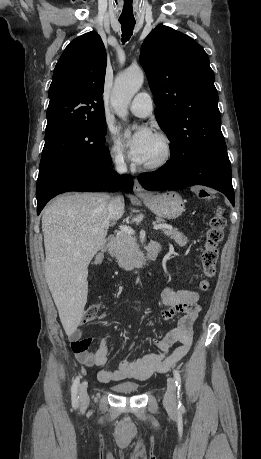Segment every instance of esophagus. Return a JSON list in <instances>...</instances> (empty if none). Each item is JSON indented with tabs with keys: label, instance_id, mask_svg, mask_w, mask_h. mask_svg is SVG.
Instances as JSON below:
<instances>
[{
	"label": "esophagus",
	"instance_id": "1",
	"mask_svg": "<svg viewBox=\"0 0 261 459\" xmlns=\"http://www.w3.org/2000/svg\"><path fill=\"white\" fill-rule=\"evenodd\" d=\"M134 193L138 197H145L148 195L146 190L142 187L138 180L134 181Z\"/></svg>",
	"mask_w": 261,
	"mask_h": 459
}]
</instances>
